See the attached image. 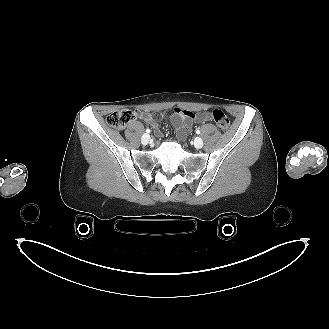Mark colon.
Masks as SVG:
<instances>
[{
  "label": "colon",
  "instance_id": "colon-1",
  "mask_svg": "<svg viewBox=\"0 0 329 329\" xmlns=\"http://www.w3.org/2000/svg\"><path fill=\"white\" fill-rule=\"evenodd\" d=\"M137 116L136 111H132L130 109H123L120 111H115L107 115L106 123L108 126L115 129H122L130 122H132ZM211 117L217 126L222 130H228L230 126V121L227 115L219 109H215L211 112Z\"/></svg>",
  "mask_w": 329,
  "mask_h": 329
}]
</instances>
